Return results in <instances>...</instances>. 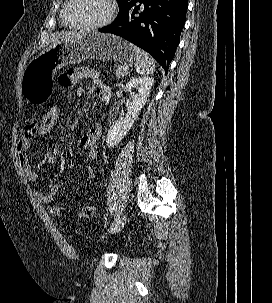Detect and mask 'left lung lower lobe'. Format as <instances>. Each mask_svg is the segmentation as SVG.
<instances>
[{
  "label": "left lung lower lobe",
  "mask_w": 272,
  "mask_h": 303,
  "mask_svg": "<svg viewBox=\"0 0 272 303\" xmlns=\"http://www.w3.org/2000/svg\"><path fill=\"white\" fill-rule=\"evenodd\" d=\"M143 3V8L136 3ZM99 32L112 33L149 52L166 73L180 41L188 0H138Z\"/></svg>",
  "instance_id": "1"
}]
</instances>
